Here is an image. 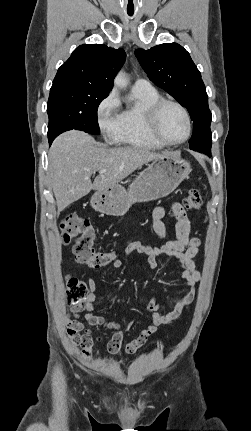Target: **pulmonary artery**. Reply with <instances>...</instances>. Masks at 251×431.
Instances as JSON below:
<instances>
[{
    "mask_svg": "<svg viewBox=\"0 0 251 431\" xmlns=\"http://www.w3.org/2000/svg\"><path fill=\"white\" fill-rule=\"evenodd\" d=\"M152 88H153L152 84L148 80L143 79V78L136 79L134 84H133V89L149 90Z\"/></svg>",
    "mask_w": 251,
    "mask_h": 431,
    "instance_id": "pulmonary-artery-1",
    "label": "pulmonary artery"
}]
</instances>
